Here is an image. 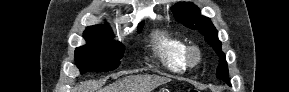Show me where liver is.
<instances>
[{
	"instance_id": "liver-1",
	"label": "liver",
	"mask_w": 289,
	"mask_h": 92,
	"mask_svg": "<svg viewBox=\"0 0 289 92\" xmlns=\"http://www.w3.org/2000/svg\"><path fill=\"white\" fill-rule=\"evenodd\" d=\"M170 81V78L158 75H132L99 89L98 92H152L156 87ZM95 88V86H88L85 90H95Z\"/></svg>"
}]
</instances>
